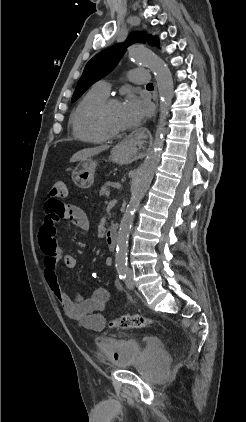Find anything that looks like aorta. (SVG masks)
Listing matches in <instances>:
<instances>
[{"label": "aorta", "mask_w": 246, "mask_h": 422, "mask_svg": "<svg viewBox=\"0 0 246 422\" xmlns=\"http://www.w3.org/2000/svg\"><path fill=\"white\" fill-rule=\"evenodd\" d=\"M129 57L135 63L146 65L154 73L160 98V116L153 146L148 152L144 163L136 172L131 198L120 222L115 255V263L118 268L126 266L128 242L135 212L147 192L160 162L166 132V118L172 103L174 90L170 69L156 54L143 47L136 46L130 49Z\"/></svg>", "instance_id": "aorta-1"}]
</instances>
